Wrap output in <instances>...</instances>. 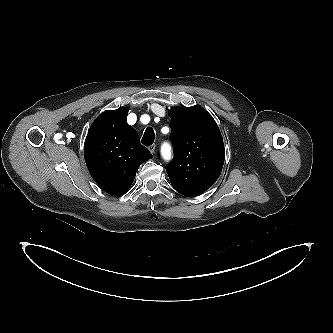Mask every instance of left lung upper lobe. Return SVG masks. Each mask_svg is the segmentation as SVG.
<instances>
[{
	"label": "left lung upper lobe",
	"mask_w": 333,
	"mask_h": 333,
	"mask_svg": "<svg viewBox=\"0 0 333 333\" xmlns=\"http://www.w3.org/2000/svg\"><path fill=\"white\" fill-rule=\"evenodd\" d=\"M171 139L174 159L166 166L174 189L193 197L209 189L219 178L225 149L220 130L213 117L202 107H174Z\"/></svg>",
	"instance_id": "obj_1"
}]
</instances>
